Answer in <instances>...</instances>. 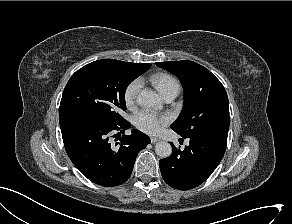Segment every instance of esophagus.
<instances>
[{"label":"esophagus","instance_id":"1","mask_svg":"<svg viewBox=\"0 0 292 224\" xmlns=\"http://www.w3.org/2000/svg\"><path fill=\"white\" fill-rule=\"evenodd\" d=\"M160 141H161V139L158 138V137H155V136H152V137H151V142H152L153 144H155V143H157V142H160Z\"/></svg>","mask_w":292,"mask_h":224}]
</instances>
